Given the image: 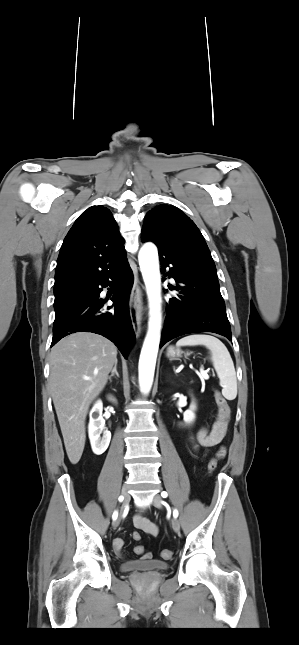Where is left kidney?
<instances>
[{"instance_id": "1", "label": "left kidney", "mask_w": 299, "mask_h": 645, "mask_svg": "<svg viewBox=\"0 0 299 645\" xmlns=\"http://www.w3.org/2000/svg\"><path fill=\"white\" fill-rule=\"evenodd\" d=\"M195 410H196V405H195V403H194V402H192V404L190 405V408H189L188 410H186V411L184 412V414H183V416H184V422H185L186 424H190V423H192V422L194 421V419H195V413H194V411H195Z\"/></svg>"}]
</instances>
